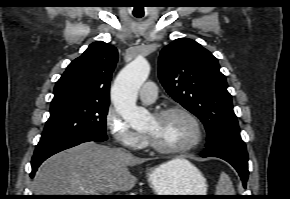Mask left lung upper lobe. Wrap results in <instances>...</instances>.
<instances>
[{"label": "left lung upper lobe", "mask_w": 290, "mask_h": 199, "mask_svg": "<svg viewBox=\"0 0 290 199\" xmlns=\"http://www.w3.org/2000/svg\"><path fill=\"white\" fill-rule=\"evenodd\" d=\"M159 78L167 93L204 123L207 147L241 139L225 76L217 59L200 44L180 38L164 47Z\"/></svg>", "instance_id": "1"}]
</instances>
